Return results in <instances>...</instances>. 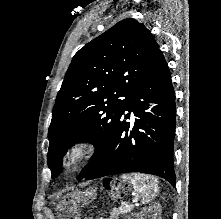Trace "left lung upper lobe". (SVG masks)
Listing matches in <instances>:
<instances>
[{
  "label": "left lung upper lobe",
  "instance_id": "left-lung-upper-lobe-1",
  "mask_svg": "<svg viewBox=\"0 0 221 219\" xmlns=\"http://www.w3.org/2000/svg\"><path fill=\"white\" fill-rule=\"evenodd\" d=\"M158 50L144 25L125 19L75 54L57 94L48 131L47 163L52 178L61 173L67 149L82 141L95 145L79 179L86 175Z\"/></svg>",
  "mask_w": 221,
  "mask_h": 219
}]
</instances>
